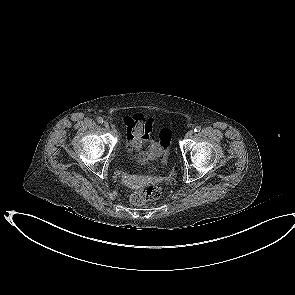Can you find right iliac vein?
<instances>
[{
  "instance_id": "1",
  "label": "right iliac vein",
  "mask_w": 295,
  "mask_h": 295,
  "mask_svg": "<svg viewBox=\"0 0 295 295\" xmlns=\"http://www.w3.org/2000/svg\"><path fill=\"white\" fill-rule=\"evenodd\" d=\"M103 125L105 128H107V129L109 128V123L107 121H105Z\"/></svg>"
}]
</instances>
